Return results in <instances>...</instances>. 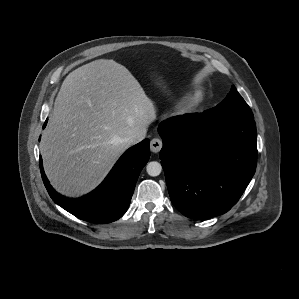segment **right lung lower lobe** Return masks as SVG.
Listing matches in <instances>:
<instances>
[{"label": "right lung lower lobe", "instance_id": "1", "mask_svg": "<svg viewBox=\"0 0 299 299\" xmlns=\"http://www.w3.org/2000/svg\"><path fill=\"white\" fill-rule=\"evenodd\" d=\"M46 123L47 120L43 128ZM149 157L150 141L145 139L120 157L101 185L79 199H69L58 194L44 174L41 156L39 164L45 187L56 204L79 219L92 223H109L119 219L127 211L138 176Z\"/></svg>", "mask_w": 299, "mask_h": 299}]
</instances>
